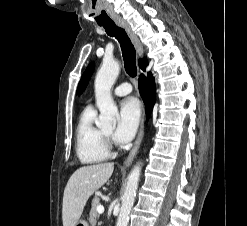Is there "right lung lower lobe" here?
I'll return each mask as SVG.
<instances>
[{
    "label": "right lung lower lobe",
    "mask_w": 247,
    "mask_h": 226,
    "mask_svg": "<svg viewBox=\"0 0 247 226\" xmlns=\"http://www.w3.org/2000/svg\"><path fill=\"white\" fill-rule=\"evenodd\" d=\"M143 70H145V67ZM138 84L142 99L147 108V115H149L155 103V86L151 73H148V77H145L142 74L139 78Z\"/></svg>",
    "instance_id": "right-lung-lower-lobe-1"
}]
</instances>
